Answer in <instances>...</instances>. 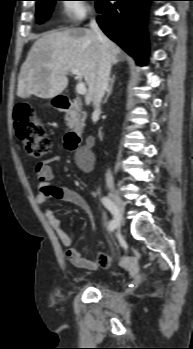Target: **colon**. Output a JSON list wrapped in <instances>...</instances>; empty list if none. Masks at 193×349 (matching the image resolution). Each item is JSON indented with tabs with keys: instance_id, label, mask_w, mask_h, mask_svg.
<instances>
[{
	"instance_id": "1",
	"label": "colon",
	"mask_w": 193,
	"mask_h": 349,
	"mask_svg": "<svg viewBox=\"0 0 193 349\" xmlns=\"http://www.w3.org/2000/svg\"><path fill=\"white\" fill-rule=\"evenodd\" d=\"M14 129L18 142L29 155L39 158L50 152L51 141L45 134L41 120L30 105L16 106Z\"/></svg>"
}]
</instances>
